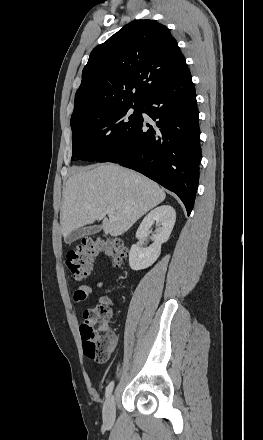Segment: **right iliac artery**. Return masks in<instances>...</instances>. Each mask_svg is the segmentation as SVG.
Returning a JSON list of instances; mask_svg holds the SVG:
<instances>
[{
  "mask_svg": "<svg viewBox=\"0 0 263 440\" xmlns=\"http://www.w3.org/2000/svg\"><path fill=\"white\" fill-rule=\"evenodd\" d=\"M114 387V382H110L109 385L106 387V392H105V396L106 398H108L113 390Z\"/></svg>",
  "mask_w": 263,
  "mask_h": 440,
  "instance_id": "1",
  "label": "right iliac artery"
}]
</instances>
